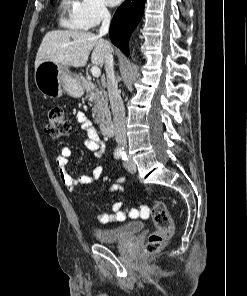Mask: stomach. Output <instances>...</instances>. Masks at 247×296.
Segmentation results:
<instances>
[{"label": "stomach", "instance_id": "stomach-1", "mask_svg": "<svg viewBox=\"0 0 247 296\" xmlns=\"http://www.w3.org/2000/svg\"><path fill=\"white\" fill-rule=\"evenodd\" d=\"M34 81L37 89L50 98H58L64 91L72 97L83 95L82 85L70 74L68 66L51 61H44L35 69Z\"/></svg>", "mask_w": 247, "mask_h": 296}]
</instances>
